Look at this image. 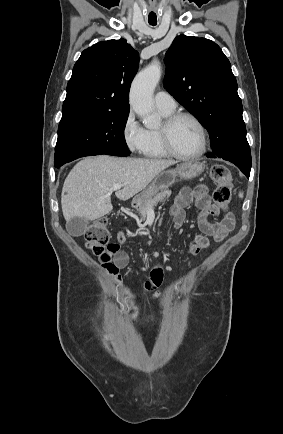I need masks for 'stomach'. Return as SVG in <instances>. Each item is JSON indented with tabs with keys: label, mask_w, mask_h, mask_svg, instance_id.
Masks as SVG:
<instances>
[{
	"label": "stomach",
	"mask_w": 283,
	"mask_h": 434,
	"mask_svg": "<svg viewBox=\"0 0 283 434\" xmlns=\"http://www.w3.org/2000/svg\"><path fill=\"white\" fill-rule=\"evenodd\" d=\"M203 171L204 165L196 161L184 162L177 165L175 169L162 171L145 190L133 198L132 203L136 207L144 206L155 195L172 186L177 177L182 180H190L200 175Z\"/></svg>",
	"instance_id": "1"
}]
</instances>
